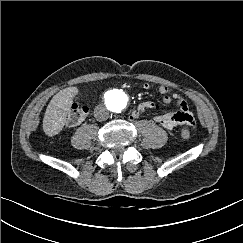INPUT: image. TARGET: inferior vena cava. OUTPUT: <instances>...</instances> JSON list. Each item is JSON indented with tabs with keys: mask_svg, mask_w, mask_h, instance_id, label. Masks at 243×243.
Wrapping results in <instances>:
<instances>
[{
	"mask_svg": "<svg viewBox=\"0 0 243 243\" xmlns=\"http://www.w3.org/2000/svg\"><path fill=\"white\" fill-rule=\"evenodd\" d=\"M95 117L97 118V120L99 121H104L107 120L109 117L108 112L106 111V109L104 107H100L96 113H95Z\"/></svg>",
	"mask_w": 243,
	"mask_h": 243,
	"instance_id": "1",
	"label": "inferior vena cava"
}]
</instances>
